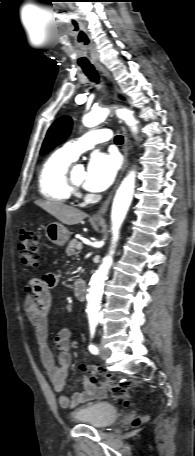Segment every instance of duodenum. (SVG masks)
Wrapping results in <instances>:
<instances>
[{"label": "duodenum", "mask_w": 195, "mask_h": 456, "mask_svg": "<svg viewBox=\"0 0 195 456\" xmlns=\"http://www.w3.org/2000/svg\"><path fill=\"white\" fill-rule=\"evenodd\" d=\"M74 294L80 301H84L87 295V284L84 280H77L74 283Z\"/></svg>", "instance_id": "1"}]
</instances>
